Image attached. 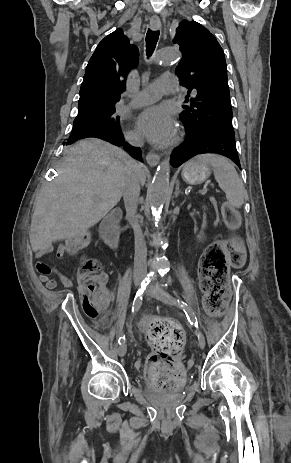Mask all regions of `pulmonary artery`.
<instances>
[{
  "instance_id": "obj_1",
  "label": "pulmonary artery",
  "mask_w": 291,
  "mask_h": 463,
  "mask_svg": "<svg viewBox=\"0 0 291 463\" xmlns=\"http://www.w3.org/2000/svg\"><path fill=\"white\" fill-rule=\"evenodd\" d=\"M178 87V81L175 76L167 74L162 75L136 94L133 97L130 106L140 107L154 103L163 95H175L179 93Z\"/></svg>"
}]
</instances>
